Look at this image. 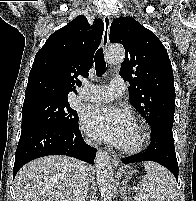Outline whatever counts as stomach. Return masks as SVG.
Masks as SVG:
<instances>
[{
	"instance_id": "1",
	"label": "stomach",
	"mask_w": 196,
	"mask_h": 201,
	"mask_svg": "<svg viewBox=\"0 0 196 201\" xmlns=\"http://www.w3.org/2000/svg\"><path fill=\"white\" fill-rule=\"evenodd\" d=\"M127 173L131 175L133 172L129 170V171H127Z\"/></svg>"
}]
</instances>
